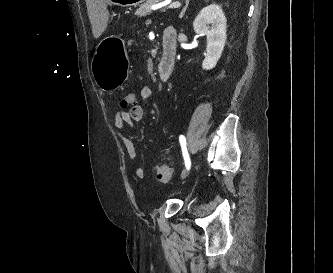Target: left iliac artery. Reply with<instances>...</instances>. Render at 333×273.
<instances>
[{
    "label": "left iliac artery",
    "mask_w": 333,
    "mask_h": 273,
    "mask_svg": "<svg viewBox=\"0 0 333 273\" xmlns=\"http://www.w3.org/2000/svg\"><path fill=\"white\" fill-rule=\"evenodd\" d=\"M179 141H180V144H181L182 154H183L186 169L189 170L190 167H191V161H190V157H189L187 147H186V138H185V136L180 135L179 136Z\"/></svg>",
    "instance_id": "left-iliac-artery-1"
}]
</instances>
